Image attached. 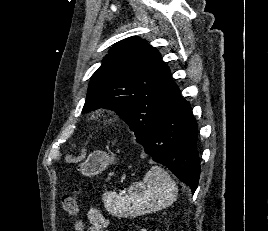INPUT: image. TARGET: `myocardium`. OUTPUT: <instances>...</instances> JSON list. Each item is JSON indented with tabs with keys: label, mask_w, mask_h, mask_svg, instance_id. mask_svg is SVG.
<instances>
[{
	"label": "myocardium",
	"mask_w": 268,
	"mask_h": 231,
	"mask_svg": "<svg viewBox=\"0 0 268 231\" xmlns=\"http://www.w3.org/2000/svg\"><path fill=\"white\" fill-rule=\"evenodd\" d=\"M106 116V111L103 108H98L93 111L92 117L94 120H102Z\"/></svg>",
	"instance_id": "myocardium-1"
}]
</instances>
